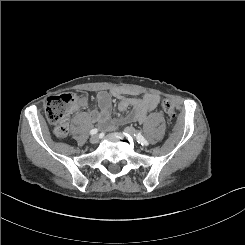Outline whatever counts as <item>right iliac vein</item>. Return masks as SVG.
Wrapping results in <instances>:
<instances>
[{"label":"right iliac vein","mask_w":245,"mask_h":245,"mask_svg":"<svg viewBox=\"0 0 245 245\" xmlns=\"http://www.w3.org/2000/svg\"><path fill=\"white\" fill-rule=\"evenodd\" d=\"M98 141H99V136H98V135H93V136H91V138H90V142H91V143L95 144V143H97Z\"/></svg>","instance_id":"63e3f726"}]
</instances>
